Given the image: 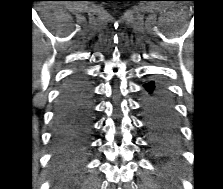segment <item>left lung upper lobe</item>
Returning a JSON list of instances; mask_svg holds the SVG:
<instances>
[{
  "mask_svg": "<svg viewBox=\"0 0 223 189\" xmlns=\"http://www.w3.org/2000/svg\"><path fill=\"white\" fill-rule=\"evenodd\" d=\"M148 128L151 131L154 143L157 146L167 147L171 145L173 139V133L157 125L148 124Z\"/></svg>",
  "mask_w": 223,
  "mask_h": 189,
  "instance_id": "5c2ea615",
  "label": "left lung upper lobe"
}]
</instances>
